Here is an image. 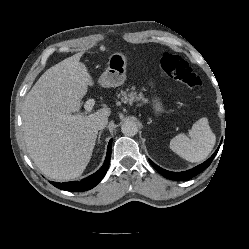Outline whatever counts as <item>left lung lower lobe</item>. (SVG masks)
I'll return each mask as SVG.
<instances>
[{
    "instance_id": "0a47b994",
    "label": "left lung lower lobe",
    "mask_w": 249,
    "mask_h": 249,
    "mask_svg": "<svg viewBox=\"0 0 249 249\" xmlns=\"http://www.w3.org/2000/svg\"><path fill=\"white\" fill-rule=\"evenodd\" d=\"M219 148L215 151V153L204 163L184 172H170L167 170L162 169L161 167L157 166L155 163H153L151 160L149 162L152 164V166L164 177L172 180H189L192 177L196 176L200 172H202L204 169H206L211 162L213 161L214 157L216 156Z\"/></svg>"
}]
</instances>
